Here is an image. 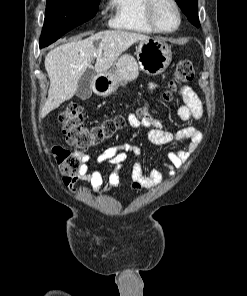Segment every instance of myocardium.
<instances>
[{
    "instance_id": "myocardium-1",
    "label": "myocardium",
    "mask_w": 247,
    "mask_h": 296,
    "mask_svg": "<svg viewBox=\"0 0 247 296\" xmlns=\"http://www.w3.org/2000/svg\"><path fill=\"white\" fill-rule=\"evenodd\" d=\"M159 1L160 0H147L146 6H145L146 19H147L148 23L150 24V26L154 29L155 32L162 33V34H171L175 31H177L179 29V27L181 26L182 16H181L180 7H179L178 3L176 2V0H165L174 8L175 13H176V17H177V23L174 28H172L170 30H164V29L160 28V26L157 23L156 17H155V8H156V5Z\"/></svg>"
}]
</instances>
